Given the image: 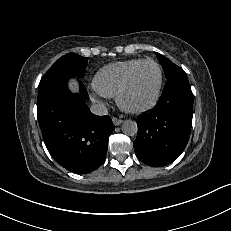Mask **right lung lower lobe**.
<instances>
[{
  "instance_id": "98d812e1",
  "label": "right lung lower lobe",
  "mask_w": 231,
  "mask_h": 231,
  "mask_svg": "<svg viewBox=\"0 0 231 231\" xmlns=\"http://www.w3.org/2000/svg\"><path fill=\"white\" fill-rule=\"evenodd\" d=\"M69 78H57L38 88L37 115L51 156L65 169L84 174L103 164L115 127L109 116L90 112L82 82L79 94L68 90Z\"/></svg>"
}]
</instances>
